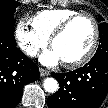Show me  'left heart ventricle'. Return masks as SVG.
I'll return each mask as SVG.
<instances>
[{"mask_svg": "<svg viewBox=\"0 0 108 108\" xmlns=\"http://www.w3.org/2000/svg\"><path fill=\"white\" fill-rule=\"evenodd\" d=\"M94 35L93 25L87 18L73 22L66 32L53 44L61 61H72L82 56L89 48Z\"/></svg>", "mask_w": 108, "mask_h": 108, "instance_id": "left-heart-ventricle-1", "label": "left heart ventricle"}]
</instances>
